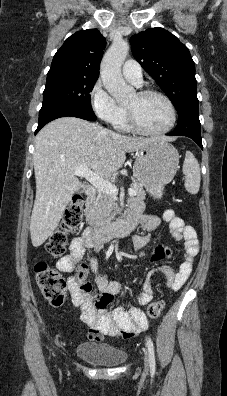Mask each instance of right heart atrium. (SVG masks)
Wrapping results in <instances>:
<instances>
[{"label": "right heart atrium", "instance_id": "obj_1", "mask_svg": "<svg viewBox=\"0 0 227 396\" xmlns=\"http://www.w3.org/2000/svg\"><path fill=\"white\" fill-rule=\"evenodd\" d=\"M90 103L95 115L101 120L113 124L123 114V108L117 104L100 81L90 91Z\"/></svg>", "mask_w": 227, "mask_h": 396}]
</instances>
